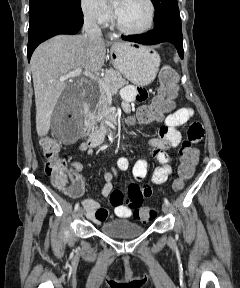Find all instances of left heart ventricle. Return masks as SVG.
<instances>
[{"label":"left heart ventricle","mask_w":240,"mask_h":288,"mask_svg":"<svg viewBox=\"0 0 240 288\" xmlns=\"http://www.w3.org/2000/svg\"><path fill=\"white\" fill-rule=\"evenodd\" d=\"M117 14L125 26L134 30L146 27L150 20V8L146 0H122Z\"/></svg>","instance_id":"1"}]
</instances>
